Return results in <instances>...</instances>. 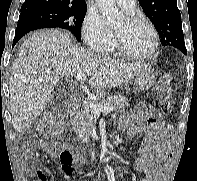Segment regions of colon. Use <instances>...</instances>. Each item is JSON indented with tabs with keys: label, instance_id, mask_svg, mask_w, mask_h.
<instances>
[{
	"label": "colon",
	"instance_id": "5ec220e1",
	"mask_svg": "<svg viewBox=\"0 0 197 181\" xmlns=\"http://www.w3.org/2000/svg\"><path fill=\"white\" fill-rule=\"evenodd\" d=\"M170 77L163 76L157 86V93L160 103V108L165 114H169L172 110V103L170 101ZM64 128L63 119L59 116L46 114L42 117L39 125L41 133L45 136H53L62 132ZM38 158V155L35 156ZM62 170L66 175L71 174L73 171V154L65 150L60 154ZM46 174L39 170L36 177L32 181H47Z\"/></svg>",
	"mask_w": 197,
	"mask_h": 181
}]
</instances>
